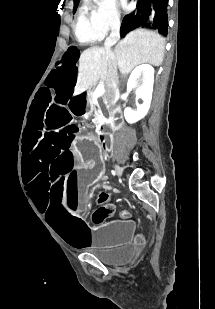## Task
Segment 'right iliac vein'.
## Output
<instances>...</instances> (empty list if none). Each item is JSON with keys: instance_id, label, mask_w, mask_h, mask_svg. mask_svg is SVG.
<instances>
[{"instance_id": "1", "label": "right iliac vein", "mask_w": 215, "mask_h": 309, "mask_svg": "<svg viewBox=\"0 0 215 309\" xmlns=\"http://www.w3.org/2000/svg\"><path fill=\"white\" fill-rule=\"evenodd\" d=\"M115 171H116L118 176H121L122 170H121V168L118 165H115Z\"/></svg>"}]
</instances>
